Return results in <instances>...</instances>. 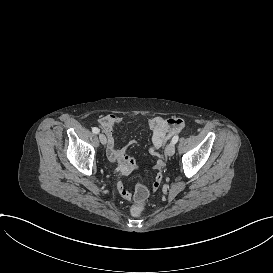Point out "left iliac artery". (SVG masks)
Masks as SVG:
<instances>
[{
  "mask_svg": "<svg viewBox=\"0 0 273 273\" xmlns=\"http://www.w3.org/2000/svg\"><path fill=\"white\" fill-rule=\"evenodd\" d=\"M178 139H179V136L178 135H175L173 138H172V143L173 144H176L177 143V141H178Z\"/></svg>",
  "mask_w": 273,
  "mask_h": 273,
  "instance_id": "obj_1",
  "label": "left iliac artery"
}]
</instances>
